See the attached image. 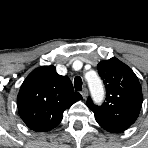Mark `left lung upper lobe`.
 <instances>
[{"label":"left lung upper lobe","instance_id":"1","mask_svg":"<svg viewBox=\"0 0 148 148\" xmlns=\"http://www.w3.org/2000/svg\"><path fill=\"white\" fill-rule=\"evenodd\" d=\"M97 69L106 87V101L97 106L89 97L87 106L102 128L120 133L128 129L139 115L143 102L141 85L132 69L115 57L101 61Z\"/></svg>","mask_w":148,"mask_h":148}]
</instances>
